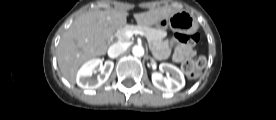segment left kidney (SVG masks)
<instances>
[{
	"label": "left kidney",
	"instance_id": "left-kidney-1",
	"mask_svg": "<svg viewBox=\"0 0 276 120\" xmlns=\"http://www.w3.org/2000/svg\"><path fill=\"white\" fill-rule=\"evenodd\" d=\"M160 70L171 74V76L164 77L159 72H153L151 75L152 83L156 88L167 93H174L184 87V75L176 66L169 63H161Z\"/></svg>",
	"mask_w": 276,
	"mask_h": 120
}]
</instances>
